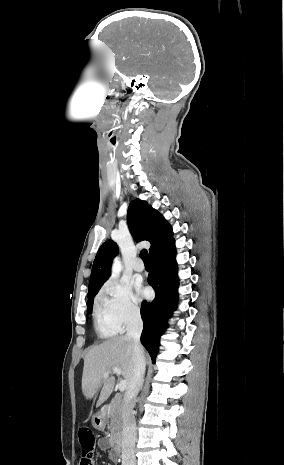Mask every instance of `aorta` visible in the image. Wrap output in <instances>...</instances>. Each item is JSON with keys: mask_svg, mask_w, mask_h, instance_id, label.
Masks as SVG:
<instances>
[{"mask_svg": "<svg viewBox=\"0 0 284 465\" xmlns=\"http://www.w3.org/2000/svg\"><path fill=\"white\" fill-rule=\"evenodd\" d=\"M122 270V264L119 260V258H116L114 260L113 266H112V274L113 276L119 275Z\"/></svg>", "mask_w": 284, "mask_h": 465, "instance_id": "aorta-1", "label": "aorta"}]
</instances>
